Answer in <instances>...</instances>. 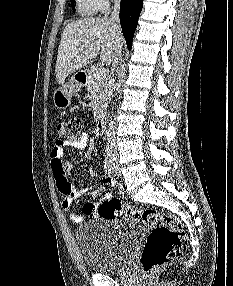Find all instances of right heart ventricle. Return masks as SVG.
Instances as JSON below:
<instances>
[{
  "instance_id": "e07e8e85",
  "label": "right heart ventricle",
  "mask_w": 233,
  "mask_h": 286,
  "mask_svg": "<svg viewBox=\"0 0 233 286\" xmlns=\"http://www.w3.org/2000/svg\"><path fill=\"white\" fill-rule=\"evenodd\" d=\"M77 6L84 16H93L100 10L96 0H77Z\"/></svg>"
}]
</instances>
